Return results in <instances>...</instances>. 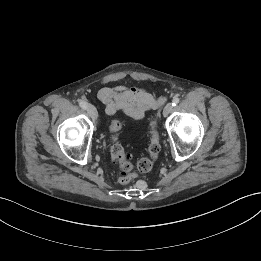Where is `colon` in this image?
I'll return each mask as SVG.
<instances>
[{
  "instance_id": "colon-1",
  "label": "colon",
  "mask_w": 261,
  "mask_h": 261,
  "mask_svg": "<svg viewBox=\"0 0 261 261\" xmlns=\"http://www.w3.org/2000/svg\"><path fill=\"white\" fill-rule=\"evenodd\" d=\"M110 130L113 134V144L110 148L111 161L113 164H117L121 170L119 177L120 183L127 184L135 178L137 172H147L152 169L160 153L156 122L151 123V140L148 148L149 158H141L136 163L132 161L131 156L116 140L115 135L120 130L119 122H112Z\"/></svg>"
}]
</instances>
